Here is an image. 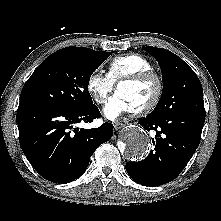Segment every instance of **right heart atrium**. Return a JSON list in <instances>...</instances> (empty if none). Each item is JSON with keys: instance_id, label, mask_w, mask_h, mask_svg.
I'll return each instance as SVG.
<instances>
[{"instance_id": "d8ad5b80", "label": "right heart atrium", "mask_w": 221, "mask_h": 221, "mask_svg": "<svg viewBox=\"0 0 221 221\" xmlns=\"http://www.w3.org/2000/svg\"><path fill=\"white\" fill-rule=\"evenodd\" d=\"M115 83L107 74L96 70L90 74L86 88L91 97L98 103L104 104L114 90Z\"/></svg>"}]
</instances>
